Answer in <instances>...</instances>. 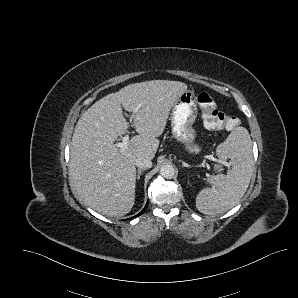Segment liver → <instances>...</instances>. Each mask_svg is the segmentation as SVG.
Instances as JSON below:
<instances>
[{
  "mask_svg": "<svg viewBox=\"0 0 298 298\" xmlns=\"http://www.w3.org/2000/svg\"><path fill=\"white\" fill-rule=\"evenodd\" d=\"M188 88L179 80L136 82L112 92L88 108L78 120L71 142L70 175L91 208L103 215L120 217L134 203L135 160L153 159L173 104ZM122 107L132 113L138 133L121 154L114 143L128 132Z\"/></svg>",
  "mask_w": 298,
  "mask_h": 298,
  "instance_id": "obj_1",
  "label": "liver"
}]
</instances>
